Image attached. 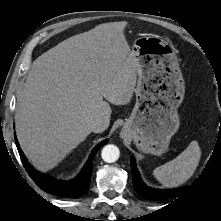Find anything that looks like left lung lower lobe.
<instances>
[{"label":"left lung lower lobe","instance_id":"left-lung-lower-lobe-1","mask_svg":"<svg viewBox=\"0 0 221 221\" xmlns=\"http://www.w3.org/2000/svg\"><path fill=\"white\" fill-rule=\"evenodd\" d=\"M131 169H132V177H133V184H134L135 190L142 197L149 199V200L156 201V200L168 199V198H173V197L183 195L194 184L193 183L190 186V188H178V189H167V190L154 189V188L148 187L141 180L139 172L136 168L134 158H131Z\"/></svg>","mask_w":221,"mask_h":221}]
</instances>
